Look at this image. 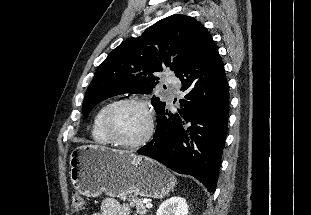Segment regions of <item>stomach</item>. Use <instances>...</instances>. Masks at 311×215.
I'll use <instances>...</instances> for the list:
<instances>
[{"label": "stomach", "mask_w": 311, "mask_h": 215, "mask_svg": "<svg viewBox=\"0 0 311 215\" xmlns=\"http://www.w3.org/2000/svg\"><path fill=\"white\" fill-rule=\"evenodd\" d=\"M70 178L83 196L135 194L162 198L173 190L175 177L158 162L130 152L82 145L70 155Z\"/></svg>", "instance_id": "stomach-1"}]
</instances>
